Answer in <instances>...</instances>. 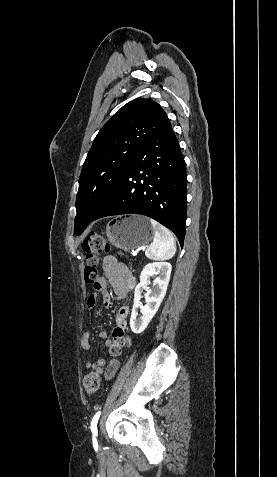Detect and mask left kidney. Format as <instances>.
Listing matches in <instances>:
<instances>
[{"instance_id": "5707ae66", "label": "left kidney", "mask_w": 277, "mask_h": 477, "mask_svg": "<svg viewBox=\"0 0 277 477\" xmlns=\"http://www.w3.org/2000/svg\"><path fill=\"white\" fill-rule=\"evenodd\" d=\"M172 266L169 262H153L147 264L140 275V283L136 286L134 292V304L130 318V327L133 333L140 334L148 326L166 294L168 283L170 280ZM155 277L153 288L145 294L147 304L141 307V317L136 319L138 315V307L141 306L140 299L145 286L150 282L149 279Z\"/></svg>"}]
</instances>
